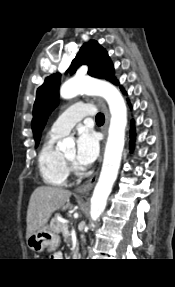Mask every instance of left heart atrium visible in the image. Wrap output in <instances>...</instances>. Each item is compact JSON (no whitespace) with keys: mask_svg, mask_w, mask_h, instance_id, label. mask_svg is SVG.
Masks as SVG:
<instances>
[{"mask_svg":"<svg viewBox=\"0 0 175 287\" xmlns=\"http://www.w3.org/2000/svg\"><path fill=\"white\" fill-rule=\"evenodd\" d=\"M98 154L99 143L96 135L88 129H81L77 137V162L88 166L96 160Z\"/></svg>","mask_w":175,"mask_h":287,"instance_id":"obj_1","label":"left heart atrium"}]
</instances>
